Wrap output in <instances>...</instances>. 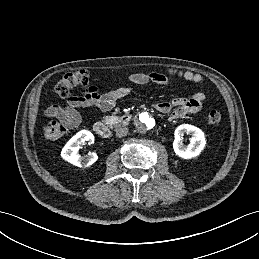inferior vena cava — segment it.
<instances>
[{
  "mask_svg": "<svg viewBox=\"0 0 259 259\" xmlns=\"http://www.w3.org/2000/svg\"><path fill=\"white\" fill-rule=\"evenodd\" d=\"M128 134V129L126 127H121L116 129V137L122 138Z\"/></svg>",
  "mask_w": 259,
  "mask_h": 259,
  "instance_id": "inferior-vena-cava-1",
  "label": "inferior vena cava"
}]
</instances>
